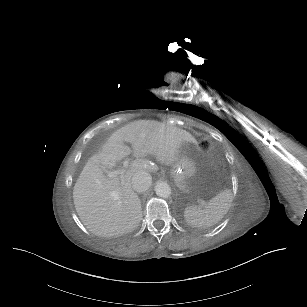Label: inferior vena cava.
Listing matches in <instances>:
<instances>
[{
    "mask_svg": "<svg viewBox=\"0 0 307 307\" xmlns=\"http://www.w3.org/2000/svg\"><path fill=\"white\" fill-rule=\"evenodd\" d=\"M132 189L138 193L147 191L152 185V177L146 172L135 174L132 179Z\"/></svg>",
    "mask_w": 307,
    "mask_h": 307,
    "instance_id": "obj_1",
    "label": "inferior vena cava"
}]
</instances>
